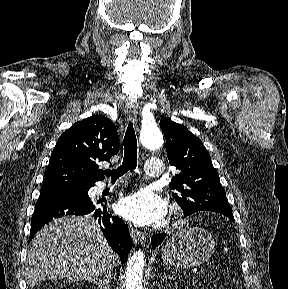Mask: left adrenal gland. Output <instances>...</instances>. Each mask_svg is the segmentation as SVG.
<instances>
[{
  "mask_svg": "<svg viewBox=\"0 0 288 289\" xmlns=\"http://www.w3.org/2000/svg\"><path fill=\"white\" fill-rule=\"evenodd\" d=\"M164 278H165V279H167V278H168V279H172V276L169 275V274H168V275L165 274V275H164Z\"/></svg>",
  "mask_w": 288,
  "mask_h": 289,
  "instance_id": "left-adrenal-gland-1",
  "label": "left adrenal gland"
}]
</instances>
